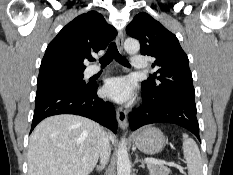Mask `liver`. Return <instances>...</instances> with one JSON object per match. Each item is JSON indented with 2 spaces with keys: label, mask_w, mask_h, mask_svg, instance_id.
Listing matches in <instances>:
<instances>
[{
  "label": "liver",
  "mask_w": 233,
  "mask_h": 175,
  "mask_svg": "<svg viewBox=\"0 0 233 175\" xmlns=\"http://www.w3.org/2000/svg\"><path fill=\"white\" fill-rule=\"evenodd\" d=\"M101 132L96 122L77 115L44 119L30 136L28 175H89L98 161Z\"/></svg>",
  "instance_id": "liver-1"
}]
</instances>
